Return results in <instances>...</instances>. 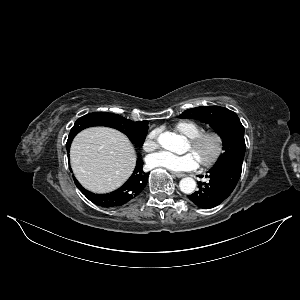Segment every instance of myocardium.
<instances>
[{"mask_svg": "<svg viewBox=\"0 0 300 300\" xmlns=\"http://www.w3.org/2000/svg\"><path fill=\"white\" fill-rule=\"evenodd\" d=\"M208 138H212L215 140L216 148L213 155L210 158L199 163V166L202 168H211L219 162L225 151L224 138L222 134L216 130H207L202 131L198 135L188 139L189 144L192 147H196Z\"/></svg>", "mask_w": 300, "mask_h": 300, "instance_id": "myocardium-1", "label": "myocardium"}]
</instances>
